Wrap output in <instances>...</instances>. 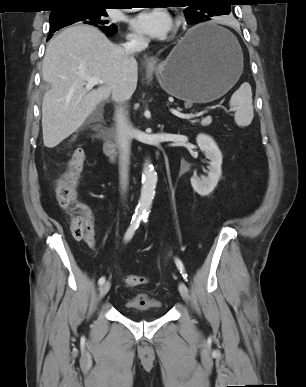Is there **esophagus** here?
Here are the masks:
<instances>
[{
    "mask_svg": "<svg viewBox=\"0 0 306 387\" xmlns=\"http://www.w3.org/2000/svg\"><path fill=\"white\" fill-rule=\"evenodd\" d=\"M150 63H151V64H154V63H155V60H150Z\"/></svg>",
    "mask_w": 306,
    "mask_h": 387,
    "instance_id": "esophagus-1",
    "label": "esophagus"
}]
</instances>
